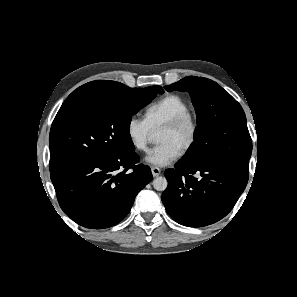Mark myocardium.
Segmentation results:
<instances>
[{
	"label": "myocardium",
	"mask_w": 297,
	"mask_h": 297,
	"mask_svg": "<svg viewBox=\"0 0 297 297\" xmlns=\"http://www.w3.org/2000/svg\"><path fill=\"white\" fill-rule=\"evenodd\" d=\"M182 127H187L189 130L188 138L182 148L180 153L184 154L188 152L196 142L198 135V121L193 113L186 111L179 114L172 120L165 123L160 130L175 131L181 129Z\"/></svg>",
	"instance_id": "1"
}]
</instances>
